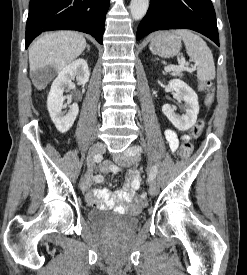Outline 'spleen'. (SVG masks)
Segmentation results:
<instances>
[{"mask_svg":"<svg viewBox=\"0 0 247 275\" xmlns=\"http://www.w3.org/2000/svg\"><path fill=\"white\" fill-rule=\"evenodd\" d=\"M174 33L183 39L188 56L197 65V78L200 81L213 80L215 64L206 42L199 35L187 29H178Z\"/></svg>","mask_w":247,"mask_h":275,"instance_id":"3e777b00","label":"spleen"}]
</instances>
